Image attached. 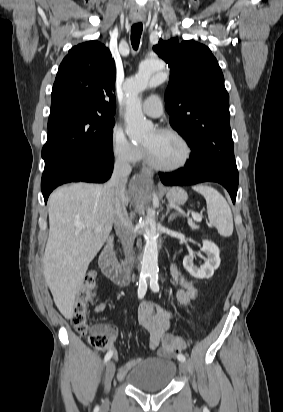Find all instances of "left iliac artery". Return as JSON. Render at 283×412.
<instances>
[{
    "label": "left iliac artery",
    "instance_id": "obj_1",
    "mask_svg": "<svg viewBox=\"0 0 283 412\" xmlns=\"http://www.w3.org/2000/svg\"><path fill=\"white\" fill-rule=\"evenodd\" d=\"M150 287L154 292L159 291L158 276L156 274H150ZM177 358L179 361L184 362L186 360L183 354H178Z\"/></svg>",
    "mask_w": 283,
    "mask_h": 412
}]
</instances>
